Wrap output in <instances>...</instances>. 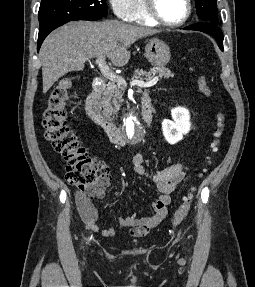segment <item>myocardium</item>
<instances>
[{
    "label": "myocardium",
    "mask_w": 255,
    "mask_h": 287,
    "mask_svg": "<svg viewBox=\"0 0 255 287\" xmlns=\"http://www.w3.org/2000/svg\"><path fill=\"white\" fill-rule=\"evenodd\" d=\"M157 23H159V22L157 21ZM154 33H169V32H154ZM156 39H167V38H156Z\"/></svg>",
    "instance_id": "1"
}]
</instances>
